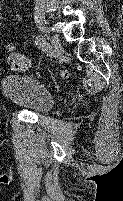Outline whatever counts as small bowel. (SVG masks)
<instances>
[{
	"mask_svg": "<svg viewBox=\"0 0 123 201\" xmlns=\"http://www.w3.org/2000/svg\"><path fill=\"white\" fill-rule=\"evenodd\" d=\"M5 21H6V16L2 12L1 7H0V28L4 25Z\"/></svg>",
	"mask_w": 123,
	"mask_h": 201,
	"instance_id": "c3829d8e",
	"label": "small bowel"
}]
</instances>
